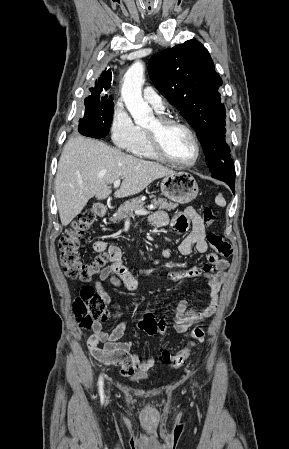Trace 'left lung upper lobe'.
<instances>
[{"mask_svg":"<svg viewBox=\"0 0 289 449\" xmlns=\"http://www.w3.org/2000/svg\"><path fill=\"white\" fill-rule=\"evenodd\" d=\"M148 71L160 93L197 132L212 177L235 180L225 143L226 110L218 92L222 80L208 50L199 41L188 40L152 56Z\"/></svg>","mask_w":289,"mask_h":449,"instance_id":"1","label":"left lung upper lobe"}]
</instances>
